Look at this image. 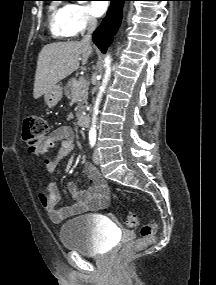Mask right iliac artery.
I'll return each instance as SVG.
<instances>
[{"mask_svg": "<svg viewBox=\"0 0 216 285\" xmlns=\"http://www.w3.org/2000/svg\"><path fill=\"white\" fill-rule=\"evenodd\" d=\"M89 140H90L91 147H94L95 142H96V135L95 134H90L89 135Z\"/></svg>", "mask_w": 216, "mask_h": 285, "instance_id": "1", "label": "right iliac artery"}]
</instances>
